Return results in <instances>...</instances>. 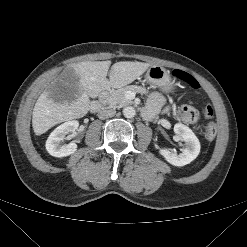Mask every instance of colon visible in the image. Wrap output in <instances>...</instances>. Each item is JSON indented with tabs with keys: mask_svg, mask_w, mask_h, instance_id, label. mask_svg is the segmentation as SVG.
I'll return each instance as SVG.
<instances>
[{
	"mask_svg": "<svg viewBox=\"0 0 247 247\" xmlns=\"http://www.w3.org/2000/svg\"><path fill=\"white\" fill-rule=\"evenodd\" d=\"M174 76L189 85L193 89H199L200 85L197 80L191 75L183 71H174ZM204 116L207 120H211L213 117V109L211 106H206L204 108ZM178 117L185 123H194L198 120L199 113L196 108L190 105H184L180 108L178 112ZM216 126L212 122H208L203 129V134L207 140H213L216 136Z\"/></svg>",
	"mask_w": 247,
	"mask_h": 247,
	"instance_id": "1",
	"label": "colon"
}]
</instances>
